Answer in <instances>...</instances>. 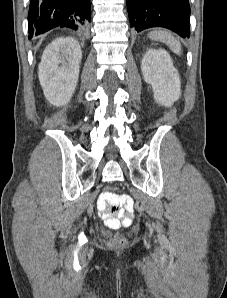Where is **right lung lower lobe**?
Instances as JSON below:
<instances>
[{
    "label": "right lung lower lobe",
    "mask_w": 227,
    "mask_h": 298,
    "mask_svg": "<svg viewBox=\"0 0 227 298\" xmlns=\"http://www.w3.org/2000/svg\"><path fill=\"white\" fill-rule=\"evenodd\" d=\"M90 20V0H31L29 39L56 27L82 29Z\"/></svg>",
    "instance_id": "right-lung-lower-lobe-1"
}]
</instances>
